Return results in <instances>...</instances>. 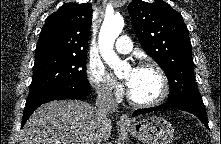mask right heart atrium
I'll use <instances>...</instances> for the list:
<instances>
[{
  "label": "right heart atrium",
  "instance_id": "right-heart-atrium-1",
  "mask_svg": "<svg viewBox=\"0 0 221 144\" xmlns=\"http://www.w3.org/2000/svg\"><path fill=\"white\" fill-rule=\"evenodd\" d=\"M87 78L97 94L104 99H118L122 94V87L99 61L91 60L88 63Z\"/></svg>",
  "mask_w": 221,
  "mask_h": 144
}]
</instances>
